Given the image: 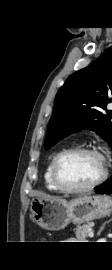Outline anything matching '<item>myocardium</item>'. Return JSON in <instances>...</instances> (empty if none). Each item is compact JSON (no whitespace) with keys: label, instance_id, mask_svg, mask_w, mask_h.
<instances>
[{"label":"myocardium","instance_id":"f54148a6","mask_svg":"<svg viewBox=\"0 0 112 270\" xmlns=\"http://www.w3.org/2000/svg\"><path fill=\"white\" fill-rule=\"evenodd\" d=\"M77 154H93L96 155L98 157L101 158L102 162H103V168H102V172L101 175L91 184L86 185V186H82V187H72L67 185L62 177H61V173H60V167L62 162L69 156L72 155H77ZM51 175H52V180L54 185L61 191L64 193H84V192H88L91 191L95 188H97L98 186H100L106 179L108 176V168H107V164L105 161V158L102 156V154L96 150L95 148L92 147H74V148H69V149H65L63 151H61L54 159L53 164H52V171H51Z\"/></svg>","mask_w":112,"mask_h":270}]
</instances>
